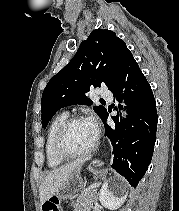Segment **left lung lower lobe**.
<instances>
[{
    "mask_svg": "<svg viewBox=\"0 0 179 211\" xmlns=\"http://www.w3.org/2000/svg\"><path fill=\"white\" fill-rule=\"evenodd\" d=\"M127 104V119L119 122L112 117L115 127L106 124L108 112L102 118L105 136L113 145L111 167L124 176L134 188L144 176L153 155L157 130V110L151 87L132 54L122 66L110 91L120 102V95ZM120 106V105H119Z\"/></svg>",
    "mask_w": 179,
    "mask_h": 211,
    "instance_id": "obj_1",
    "label": "left lung lower lobe"
}]
</instances>
